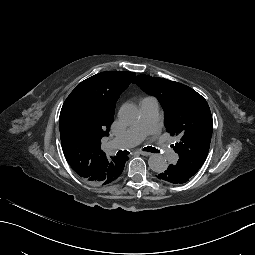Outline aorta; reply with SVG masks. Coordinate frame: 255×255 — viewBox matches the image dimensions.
Masks as SVG:
<instances>
[{"label": "aorta", "instance_id": "aorta-1", "mask_svg": "<svg viewBox=\"0 0 255 255\" xmlns=\"http://www.w3.org/2000/svg\"><path fill=\"white\" fill-rule=\"evenodd\" d=\"M119 118L125 124H133L139 119L140 113L134 104H124L119 110ZM150 169L156 173H163L167 169L166 159L161 154H152L148 159Z\"/></svg>", "mask_w": 255, "mask_h": 255}]
</instances>
